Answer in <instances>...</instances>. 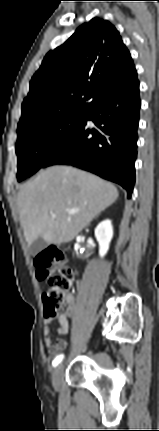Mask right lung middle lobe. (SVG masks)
I'll return each instance as SVG.
<instances>
[{
	"mask_svg": "<svg viewBox=\"0 0 159 431\" xmlns=\"http://www.w3.org/2000/svg\"><path fill=\"white\" fill-rule=\"evenodd\" d=\"M87 112H61L17 130V179L21 181L44 166L48 156L85 120Z\"/></svg>",
	"mask_w": 159,
	"mask_h": 431,
	"instance_id": "1",
	"label": "right lung middle lobe"
}]
</instances>
